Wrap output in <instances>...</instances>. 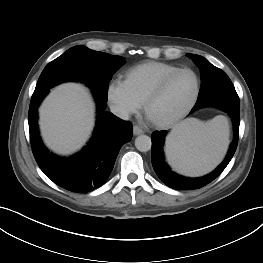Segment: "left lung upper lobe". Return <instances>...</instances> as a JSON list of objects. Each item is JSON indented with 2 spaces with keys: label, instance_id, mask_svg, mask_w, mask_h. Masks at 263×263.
<instances>
[{
  "label": "left lung upper lobe",
  "instance_id": "1",
  "mask_svg": "<svg viewBox=\"0 0 263 263\" xmlns=\"http://www.w3.org/2000/svg\"><path fill=\"white\" fill-rule=\"evenodd\" d=\"M188 55L199 66L202 72V84L198 98H202L216 91L235 90L231 80L224 71L213 66L202 56Z\"/></svg>",
  "mask_w": 263,
  "mask_h": 263
}]
</instances>
